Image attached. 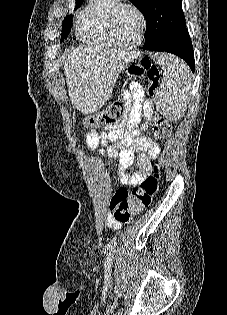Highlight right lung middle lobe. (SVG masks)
<instances>
[{
    "label": "right lung middle lobe",
    "instance_id": "1",
    "mask_svg": "<svg viewBox=\"0 0 227 315\" xmlns=\"http://www.w3.org/2000/svg\"><path fill=\"white\" fill-rule=\"evenodd\" d=\"M82 1H77L76 2V7H79L82 4ZM71 20H72V15H69L65 18L64 22H63V29H62V35H61V41H63V39L69 34L70 30H71Z\"/></svg>",
    "mask_w": 227,
    "mask_h": 315
}]
</instances>
